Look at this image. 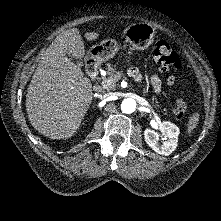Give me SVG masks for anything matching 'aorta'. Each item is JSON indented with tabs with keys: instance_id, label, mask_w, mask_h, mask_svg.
I'll return each mask as SVG.
<instances>
[{
	"instance_id": "obj_1",
	"label": "aorta",
	"mask_w": 221,
	"mask_h": 221,
	"mask_svg": "<svg viewBox=\"0 0 221 221\" xmlns=\"http://www.w3.org/2000/svg\"><path fill=\"white\" fill-rule=\"evenodd\" d=\"M136 108H137L136 101L132 98H126L121 103V110L123 111V113L126 114H131L135 112Z\"/></svg>"
}]
</instances>
